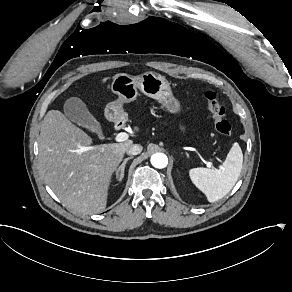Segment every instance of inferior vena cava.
I'll list each match as a JSON object with an SVG mask.
<instances>
[{
  "label": "inferior vena cava",
  "instance_id": "602c4592",
  "mask_svg": "<svg viewBox=\"0 0 292 292\" xmlns=\"http://www.w3.org/2000/svg\"><path fill=\"white\" fill-rule=\"evenodd\" d=\"M143 147L140 144H134L126 150L128 155H138L142 152Z\"/></svg>",
  "mask_w": 292,
  "mask_h": 292
}]
</instances>
